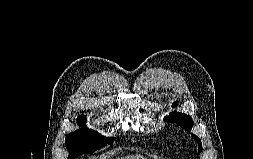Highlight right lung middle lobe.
<instances>
[{
    "label": "right lung middle lobe",
    "instance_id": "1",
    "mask_svg": "<svg viewBox=\"0 0 253 159\" xmlns=\"http://www.w3.org/2000/svg\"><path fill=\"white\" fill-rule=\"evenodd\" d=\"M85 117H78V124L82 127L85 123ZM114 138H106L98 135L97 132L89 129H80L66 136L65 145L69 151L68 159H75L76 156L83 153H93L103 145L112 144Z\"/></svg>",
    "mask_w": 253,
    "mask_h": 159
}]
</instances>
